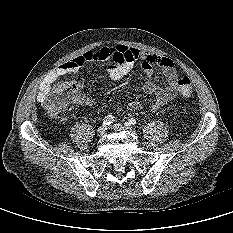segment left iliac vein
Wrapping results in <instances>:
<instances>
[{"instance_id":"1","label":"left iliac vein","mask_w":233,"mask_h":233,"mask_svg":"<svg viewBox=\"0 0 233 233\" xmlns=\"http://www.w3.org/2000/svg\"><path fill=\"white\" fill-rule=\"evenodd\" d=\"M113 129L117 132H121L123 130L129 129L131 132L135 133V131L129 127L123 126L122 124H115L113 125Z\"/></svg>"}]
</instances>
